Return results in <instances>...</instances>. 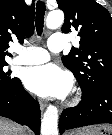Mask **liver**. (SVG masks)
I'll list each match as a JSON object with an SVG mask.
<instances>
[{
	"label": "liver",
	"mask_w": 112,
	"mask_h": 135,
	"mask_svg": "<svg viewBox=\"0 0 112 135\" xmlns=\"http://www.w3.org/2000/svg\"><path fill=\"white\" fill-rule=\"evenodd\" d=\"M0 135H26V131L22 126L0 117Z\"/></svg>",
	"instance_id": "6515ba94"
}]
</instances>
